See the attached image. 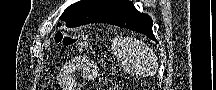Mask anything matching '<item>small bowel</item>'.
I'll return each instance as SVG.
<instances>
[{
    "mask_svg": "<svg viewBox=\"0 0 216 90\" xmlns=\"http://www.w3.org/2000/svg\"><path fill=\"white\" fill-rule=\"evenodd\" d=\"M80 72L86 81H94L98 77L97 66L92 62L82 64L76 62L67 63L58 74L60 90H77V82L74 73Z\"/></svg>",
    "mask_w": 216,
    "mask_h": 90,
    "instance_id": "1",
    "label": "small bowel"
}]
</instances>
